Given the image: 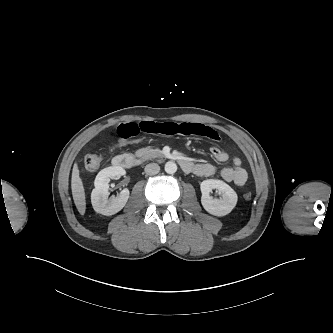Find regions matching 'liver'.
I'll use <instances>...</instances> for the list:
<instances>
[{"label": "liver", "instance_id": "liver-1", "mask_svg": "<svg viewBox=\"0 0 333 333\" xmlns=\"http://www.w3.org/2000/svg\"><path fill=\"white\" fill-rule=\"evenodd\" d=\"M71 189L76 208L81 215H84L86 211L85 191L82 179L79 176V169L77 163L74 164L72 171Z\"/></svg>", "mask_w": 333, "mask_h": 333}]
</instances>
